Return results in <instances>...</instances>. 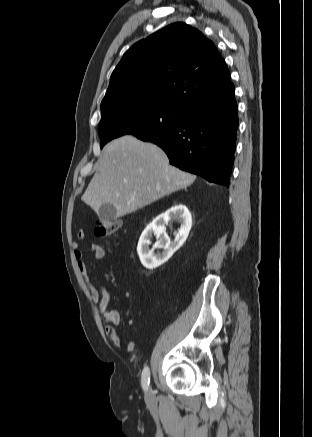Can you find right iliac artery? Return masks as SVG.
I'll return each mask as SVG.
<instances>
[{"instance_id": "1", "label": "right iliac artery", "mask_w": 312, "mask_h": 437, "mask_svg": "<svg viewBox=\"0 0 312 437\" xmlns=\"http://www.w3.org/2000/svg\"><path fill=\"white\" fill-rule=\"evenodd\" d=\"M142 387L145 391L148 390L150 384V370L148 367H145L142 371Z\"/></svg>"}]
</instances>
